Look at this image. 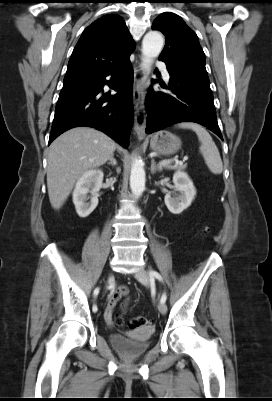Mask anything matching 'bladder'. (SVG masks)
<instances>
[{
    "mask_svg": "<svg viewBox=\"0 0 272 401\" xmlns=\"http://www.w3.org/2000/svg\"><path fill=\"white\" fill-rule=\"evenodd\" d=\"M154 331L155 329L152 326H142L126 334H112L110 344L124 357H138L149 349V339Z\"/></svg>",
    "mask_w": 272,
    "mask_h": 401,
    "instance_id": "1",
    "label": "bladder"
}]
</instances>
